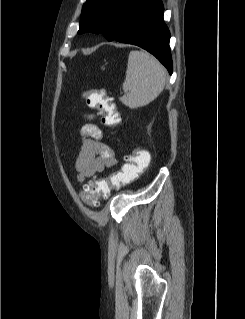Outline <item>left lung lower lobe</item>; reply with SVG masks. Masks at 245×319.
<instances>
[{
    "instance_id": "obj_1",
    "label": "left lung lower lobe",
    "mask_w": 245,
    "mask_h": 319,
    "mask_svg": "<svg viewBox=\"0 0 245 319\" xmlns=\"http://www.w3.org/2000/svg\"><path fill=\"white\" fill-rule=\"evenodd\" d=\"M163 12L161 0H147L129 16L114 40L142 47L172 74L170 32L163 21Z\"/></svg>"
}]
</instances>
